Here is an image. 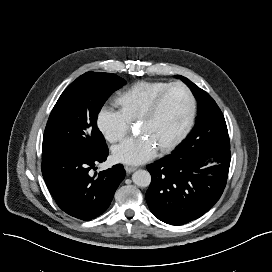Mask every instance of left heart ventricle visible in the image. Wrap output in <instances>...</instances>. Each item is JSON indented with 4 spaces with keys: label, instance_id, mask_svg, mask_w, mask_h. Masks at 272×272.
<instances>
[{
    "label": "left heart ventricle",
    "instance_id": "1",
    "mask_svg": "<svg viewBox=\"0 0 272 272\" xmlns=\"http://www.w3.org/2000/svg\"><path fill=\"white\" fill-rule=\"evenodd\" d=\"M188 98L181 88H173L164 97L156 114L138 124V132L152 140L157 148L182 126L188 113Z\"/></svg>",
    "mask_w": 272,
    "mask_h": 272
}]
</instances>
